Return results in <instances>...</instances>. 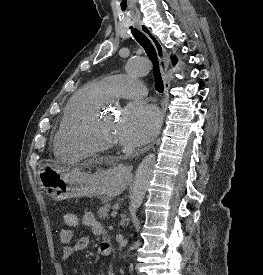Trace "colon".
Segmentation results:
<instances>
[{"instance_id":"5ec220e1","label":"colon","mask_w":263,"mask_h":275,"mask_svg":"<svg viewBox=\"0 0 263 275\" xmlns=\"http://www.w3.org/2000/svg\"><path fill=\"white\" fill-rule=\"evenodd\" d=\"M63 219L65 225L68 227H75L78 225V217L72 212L65 213Z\"/></svg>"}]
</instances>
